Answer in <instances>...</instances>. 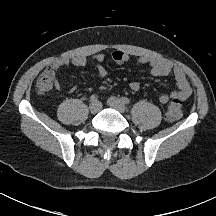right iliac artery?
<instances>
[{"instance_id": "obj_1", "label": "right iliac artery", "mask_w": 216, "mask_h": 216, "mask_svg": "<svg viewBox=\"0 0 216 216\" xmlns=\"http://www.w3.org/2000/svg\"><path fill=\"white\" fill-rule=\"evenodd\" d=\"M90 101L93 103V102H96L97 101V95L93 94L91 97H90Z\"/></svg>"}]
</instances>
